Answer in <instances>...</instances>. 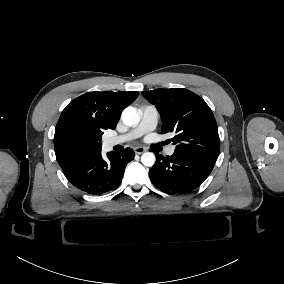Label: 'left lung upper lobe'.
<instances>
[{
  "label": "left lung upper lobe",
  "mask_w": 284,
  "mask_h": 284,
  "mask_svg": "<svg viewBox=\"0 0 284 284\" xmlns=\"http://www.w3.org/2000/svg\"><path fill=\"white\" fill-rule=\"evenodd\" d=\"M142 95L159 111L162 133L173 132L175 152L216 162L220 139L214 115L197 94L183 88L143 91Z\"/></svg>",
  "instance_id": "1"
}]
</instances>
